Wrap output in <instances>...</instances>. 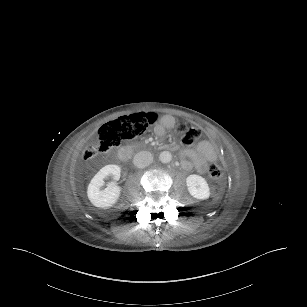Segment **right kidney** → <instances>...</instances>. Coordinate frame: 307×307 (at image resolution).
Segmentation results:
<instances>
[{
  "label": "right kidney",
  "mask_w": 307,
  "mask_h": 307,
  "mask_svg": "<svg viewBox=\"0 0 307 307\" xmlns=\"http://www.w3.org/2000/svg\"><path fill=\"white\" fill-rule=\"evenodd\" d=\"M121 167L115 164H109L100 169V171L91 180L87 195L90 202L98 208L108 209L113 207L122 192V188L113 183H110L107 188L101 189L104 186V179L112 175L115 180L121 177Z\"/></svg>",
  "instance_id": "right-kidney-1"
}]
</instances>
